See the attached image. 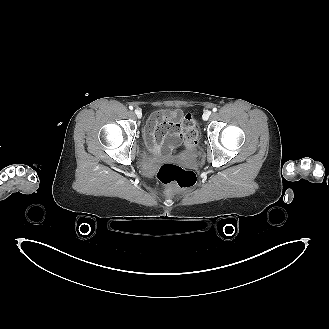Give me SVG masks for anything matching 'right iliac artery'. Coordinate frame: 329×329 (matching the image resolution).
Wrapping results in <instances>:
<instances>
[{"instance_id":"right-iliac-artery-1","label":"right iliac artery","mask_w":329,"mask_h":329,"mask_svg":"<svg viewBox=\"0 0 329 329\" xmlns=\"http://www.w3.org/2000/svg\"><path fill=\"white\" fill-rule=\"evenodd\" d=\"M129 109H130V110H133V107H132V106H130V107H129Z\"/></svg>"}]
</instances>
